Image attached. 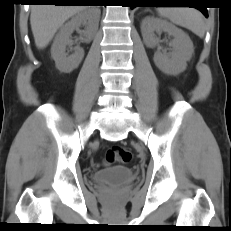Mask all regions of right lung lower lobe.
<instances>
[{
	"instance_id": "1",
	"label": "right lung lower lobe",
	"mask_w": 231,
	"mask_h": 231,
	"mask_svg": "<svg viewBox=\"0 0 231 231\" xmlns=\"http://www.w3.org/2000/svg\"><path fill=\"white\" fill-rule=\"evenodd\" d=\"M31 3H52L55 5H72L83 0H29Z\"/></svg>"
}]
</instances>
